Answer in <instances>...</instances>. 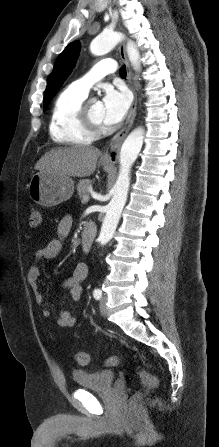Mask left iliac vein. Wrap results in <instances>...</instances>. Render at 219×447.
<instances>
[{"mask_svg":"<svg viewBox=\"0 0 219 447\" xmlns=\"http://www.w3.org/2000/svg\"><path fill=\"white\" fill-rule=\"evenodd\" d=\"M106 301H107V299H106V297H103L102 299H101V301H100V312H101V314L103 315V316H105L106 315Z\"/></svg>","mask_w":219,"mask_h":447,"instance_id":"left-iliac-vein-1","label":"left iliac vein"}]
</instances>
